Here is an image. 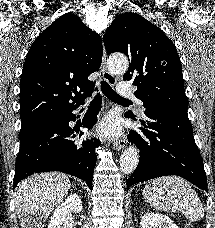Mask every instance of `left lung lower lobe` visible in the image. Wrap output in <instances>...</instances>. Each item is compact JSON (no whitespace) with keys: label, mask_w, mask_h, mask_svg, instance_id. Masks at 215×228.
<instances>
[{"label":"left lung lower lobe","mask_w":215,"mask_h":228,"mask_svg":"<svg viewBox=\"0 0 215 228\" xmlns=\"http://www.w3.org/2000/svg\"><path fill=\"white\" fill-rule=\"evenodd\" d=\"M125 116L129 117L127 113ZM145 116L147 121L140 120L147 128H140L142 135L134 130L128 135V141L140 149V157L127 186L178 175L208 192L203 161L193 137L187 108H148Z\"/></svg>","instance_id":"obj_1"}]
</instances>
